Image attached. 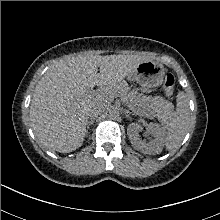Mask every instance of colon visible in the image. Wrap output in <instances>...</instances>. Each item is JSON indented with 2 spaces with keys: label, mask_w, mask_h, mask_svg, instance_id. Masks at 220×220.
<instances>
[{
  "label": "colon",
  "mask_w": 220,
  "mask_h": 220,
  "mask_svg": "<svg viewBox=\"0 0 220 220\" xmlns=\"http://www.w3.org/2000/svg\"><path fill=\"white\" fill-rule=\"evenodd\" d=\"M175 79L172 74L166 73L163 79V86L168 96H172Z\"/></svg>",
  "instance_id": "1"
}]
</instances>
